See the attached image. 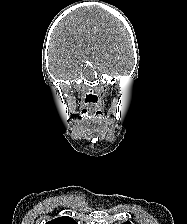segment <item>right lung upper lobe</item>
<instances>
[{"label":"right lung upper lobe","instance_id":"right-lung-upper-lobe-1","mask_svg":"<svg viewBox=\"0 0 187 224\" xmlns=\"http://www.w3.org/2000/svg\"><path fill=\"white\" fill-rule=\"evenodd\" d=\"M46 224H77V222L71 217L63 216V217H59L54 220H51L47 222Z\"/></svg>","mask_w":187,"mask_h":224}]
</instances>
